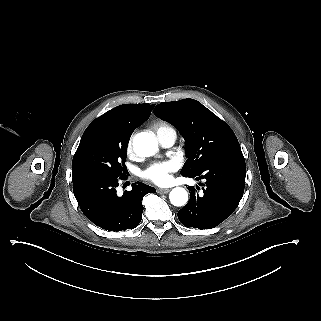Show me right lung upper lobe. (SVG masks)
Returning a JSON list of instances; mask_svg holds the SVG:
<instances>
[{
  "label": "right lung upper lobe",
  "instance_id": "right-lung-upper-lobe-1",
  "mask_svg": "<svg viewBox=\"0 0 321 321\" xmlns=\"http://www.w3.org/2000/svg\"><path fill=\"white\" fill-rule=\"evenodd\" d=\"M154 105L125 104L120 105L100 116L99 120H106L115 130H135L151 114Z\"/></svg>",
  "mask_w": 321,
  "mask_h": 321
}]
</instances>
